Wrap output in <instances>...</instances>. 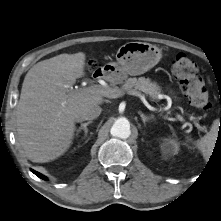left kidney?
I'll return each instance as SVG.
<instances>
[{"instance_id": "obj_1", "label": "left kidney", "mask_w": 221, "mask_h": 221, "mask_svg": "<svg viewBox=\"0 0 221 221\" xmlns=\"http://www.w3.org/2000/svg\"><path fill=\"white\" fill-rule=\"evenodd\" d=\"M162 153L166 156L176 155L179 151V146L176 140L166 138L161 144Z\"/></svg>"}]
</instances>
